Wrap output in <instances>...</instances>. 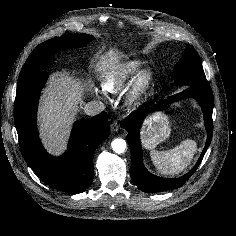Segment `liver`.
Masks as SVG:
<instances>
[{
    "label": "liver",
    "instance_id": "obj_1",
    "mask_svg": "<svg viewBox=\"0 0 236 236\" xmlns=\"http://www.w3.org/2000/svg\"><path fill=\"white\" fill-rule=\"evenodd\" d=\"M96 69L103 75L117 73L120 69L118 52L110 49L100 56ZM85 90L80 81L65 73L52 75L44 90L39 116L41 138L50 153L58 155L66 148L70 126L83 102Z\"/></svg>",
    "mask_w": 236,
    "mask_h": 236
}]
</instances>
